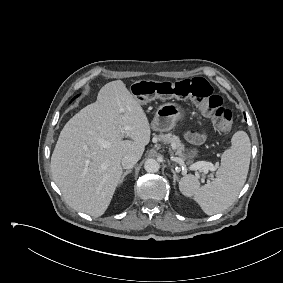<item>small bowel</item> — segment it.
<instances>
[{
	"label": "small bowel",
	"instance_id": "small-bowel-1",
	"mask_svg": "<svg viewBox=\"0 0 283 283\" xmlns=\"http://www.w3.org/2000/svg\"><path fill=\"white\" fill-rule=\"evenodd\" d=\"M188 138L193 143H200V142L203 141L204 136L202 134H198V133H190L188 135Z\"/></svg>",
	"mask_w": 283,
	"mask_h": 283
}]
</instances>
